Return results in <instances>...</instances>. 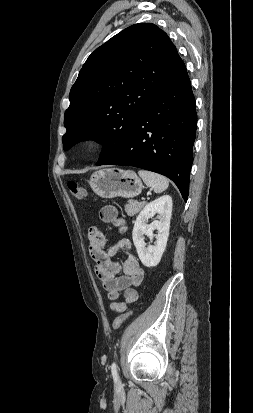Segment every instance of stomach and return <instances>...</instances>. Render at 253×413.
Listing matches in <instances>:
<instances>
[{"mask_svg": "<svg viewBox=\"0 0 253 413\" xmlns=\"http://www.w3.org/2000/svg\"><path fill=\"white\" fill-rule=\"evenodd\" d=\"M89 184L96 195L105 199L133 198L143 189V183L134 171L118 168H106L94 172Z\"/></svg>", "mask_w": 253, "mask_h": 413, "instance_id": "0dacf381", "label": "stomach"}]
</instances>
